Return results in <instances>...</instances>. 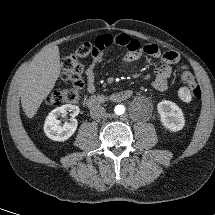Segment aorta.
Returning a JSON list of instances; mask_svg holds the SVG:
<instances>
[{"mask_svg": "<svg viewBox=\"0 0 215 215\" xmlns=\"http://www.w3.org/2000/svg\"><path fill=\"white\" fill-rule=\"evenodd\" d=\"M124 112H125L124 106L118 105V106L115 107V113L117 115H122V114H124Z\"/></svg>", "mask_w": 215, "mask_h": 215, "instance_id": "1", "label": "aorta"}]
</instances>
